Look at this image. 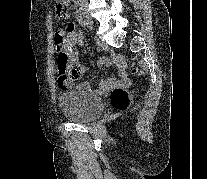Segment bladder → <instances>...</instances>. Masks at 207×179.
Segmentation results:
<instances>
[{
	"label": "bladder",
	"instance_id": "31cf9c89",
	"mask_svg": "<svg viewBox=\"0 0 207 179\" xmlns=\"http://www.w3.org/2000/svg\"><path fill=\"white\" fill-rule=\"evenodd\" d=\"M61 113L73 122H87L100 116L104 106L88 82H80L58 96Z\"/></svg>",
	"mask_w": 207,
	"mask_h": 179
}]
</instances>
